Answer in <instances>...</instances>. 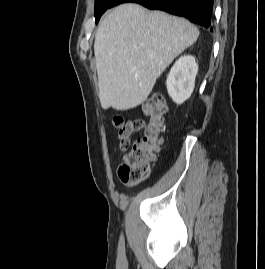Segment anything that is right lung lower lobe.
Here are the masks:
<instances>
[{"label": "right lung lower lobe", "instance_id": "98d812e1", "mask_svg": "<svg viewBox=\"0 0 265 269\" xmlns=\"http://www.w3.org/2000/svg\"><path fill=\"white\" fill-rule=\"evenodd\" d=\"M138 3L148 9L163 10L170 14L183 16L191 22L209 28L214 0H114L109 8L121 3ZM212 31V27H210Z\"/></svg>", "mask_w": 265, "mask_h": 269}]
</instances>
